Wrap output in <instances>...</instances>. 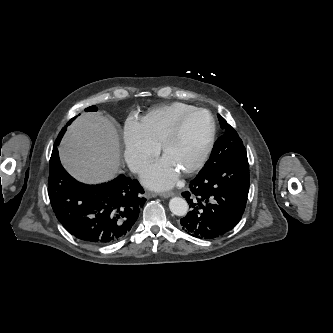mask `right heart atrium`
Segmentation results:
<instances>
[{
    "label": "right heart atrium",
    "instance_id": "d8ad5b80",
    "mask_svg": "<svg viewBox=\"0 0 333 333\" xmlns=\"http://www.w3.org/2000/svg\"><path fill=\"white\" fill-rule=\"evenodd\" d=\"M159 147L146 134L142 123L128 117L123 126V155L129 168L138 173L158 154Z\"/></svg>",
    "mask_w": 333,
    "mask_h": 333
}]
</instances>
